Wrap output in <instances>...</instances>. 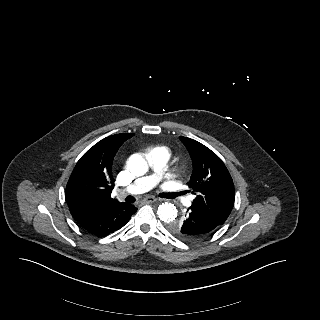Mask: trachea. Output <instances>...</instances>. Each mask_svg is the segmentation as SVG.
Masks as SVG:
<instances>
[{"instance_id":"3493384b","label":"trachea","mask_w":320,"mask_h":320,"mask_svg":"<svg viewBox=\"0 0 320 320\" xmlns=\"http://www.w3.org/2000/svg\"><path fill=\"white\" fill-rule=\"evenodd\" d=\"M179 195H182V193H163V194H161V197L173 199ZM125 200L129 203H134V201H135L134 197H132V196H127Z\"/></svg>"}]
</instances>
